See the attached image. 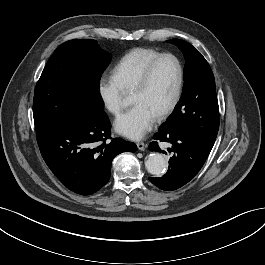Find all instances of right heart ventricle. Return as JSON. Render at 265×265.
I'll return each instance as SVG.
<instances>
[{
    "mask_svg": "<svg viewBox=\"0 0 265 265\" xmlns=\"http://www.w3.org/2000/svg\"><path fill=\"white\" fill-rule=\"evenodd\" d=\"M160 53L150 48H134L115 64L112 73L124 92H131L147 64Z\"/></svg>",
    "mask_w": 265,
    "mask_h": 265,
    "instance_id": "e07e8e85",
    "label": "right heart ventricle"
}]
</instances>
